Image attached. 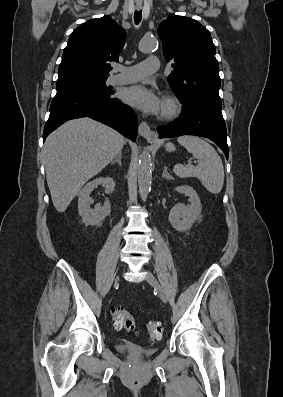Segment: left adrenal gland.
I'll use <instances>...</instances> for the list:
<instances>
[{
	"label": "left adrenal gland",
	"instance_id": "obj_1",
	"mask_svg": "<svg viewBox=\"0 0 283 397\" xmlns=\"http://www.w3.org/2000/svg\"><path fill=\"white\" fill-rule=\"evenodd\" d=\"M167 169V166H164L162 178H165L167 180H173V177L168 173Z\"/></svg>",
	"mask_w": 283,
	"mask_h": 397
}]
</instances>
